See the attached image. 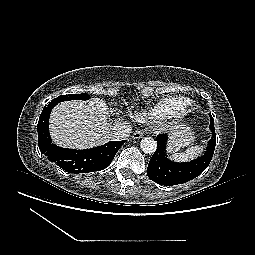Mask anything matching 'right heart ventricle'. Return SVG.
<instances>
[{
  "label": "right heart ventricle",
  "instance_id": "e07e8e85",
  "mask_svg": "<svg viewBox=\"0 0 255 255\" xmlns=\"http://www.w3.org/2000/svg\"><path fill=\"white\" fill-rule=\"evenodd\" d=\"M190 100L183 96H170L161 99L156 104L144 107L131 113V117L137 121L144 122L148 120H163L170 118L174 108H186Z\"/></svg>",
  "mask_w": 255,
  "mask_h": 255
}]
</instances>
